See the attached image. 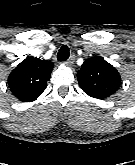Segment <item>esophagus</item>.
<instances>
[{"instance_id":"1","label":"esophagus","mask_w":135,"mask_h":165,"mask_svg":"<svg viewBox=\"0 0 135 165\" xmlns=\"http://www.w3.org/2000/svg\"><path fill=\"white\" fill-rule=\"evenodd\" d=\"M74 60H75V55H71V56L69 57V59L65 62V64H66L67 66H71V65H73V63H74Z\"/></svg>"}]
</instances>
